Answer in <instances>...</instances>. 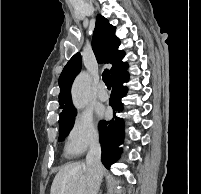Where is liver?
I'll return each instance as SVG.
<instances>
[{"label": "liver", "mask_w": 201, "mask_h": 194, "mask_svg": "<svg viewBox=\"0 0 201 194\" xmlns=\"http://www.w3.org/2000/svg\"><path fill=\"white\" fill-rule=\"evenodd\" d=\"M87 185V165L81 162L68 163L56 174L50 194H86Z\"/></svg>", "instance_id": "6515ba94"}]
</instances>
